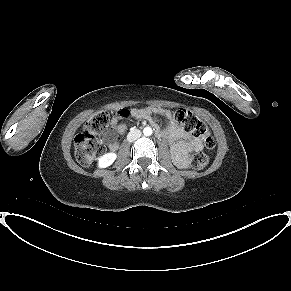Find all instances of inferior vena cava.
Listing matches in <instances>:
<instances>
[{
  "instance_id": "obj_1",
  "label": "inferior vena cava",
  "mask_w": 291,
  "mask_h": 291,
  "mask_svg": "<svg viewBox=\"0 0 291 291\" xmlns=\"http://www.w3.org/2000/svg\"><path fill=\"white\" fill-rule=\"evenodd\" d=\"M141 134L142 133L139 129H132L127 135V140L129 142H132V141L138 139L141 136Z\"/></svg>"
}]
</instances>
